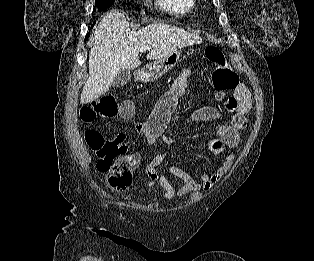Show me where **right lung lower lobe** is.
Instances as JSON below:
<instances>
[{
	"label": "right lung lower lobe",
	"instance_id": "98d812e1",
	"mask_svg": "<svg viewBox=\"0 0 314 261\" xmlns=\"http://www.w3.org/2000/svg\"><path fill=\"white\" fill-rule=\"evenodd\" d=\"M88 37H89V34H87V35H86V38H85V40H86V39H87Z\"/></svg>",
	"mask_w": 314,
	"mask_h": 261
}]
</instances>
